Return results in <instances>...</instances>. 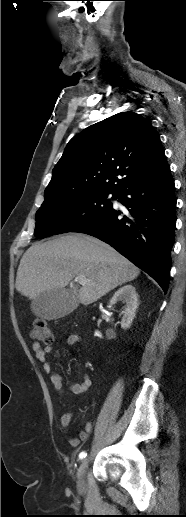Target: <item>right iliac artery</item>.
Listing matches in <instances>:
<instances>
[{
  "mask_svg": "<svg viewBox=\"0 0 186 517\" xmlns=\"http://www.w3.org/2000/svg\"><path fill=\"white\" fill-rule=\"evenodd\" d=\"M86 456H87V453H86V452H84V451H83V452H81V453L79 454V458H80L81 460H82V459H84Z\"/></svg>",
  "mask_w": 186,
  "mask_h": 517,
  "instance_id": "82829eb1",
  "label": "right iliac artery"
}]
</instances>
